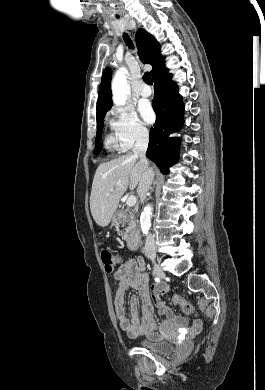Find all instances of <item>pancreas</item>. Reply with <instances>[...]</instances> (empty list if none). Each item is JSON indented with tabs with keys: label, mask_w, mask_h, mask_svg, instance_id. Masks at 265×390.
Segmentation results:
<instances>
[{
	"label": "pancreas",
	"mask_w": 265,
	"mask_h": 390,
	"mask_svg": "<svg viewBox=\"0 0 265 390\" xmlns=\"http://www.w3.org/2000/svg\"><path fill=\"white\" fill-rule=\"evenodd\" d=\"M123 226L125 224H128V227L126 228V231L123 233V238L126 239L128 236V233L131 231H134L137 227V220L135 218V215L132 210L127 209L125 211V220L122 222Z\"/></svg>",
	"instance_id": "pancreas-1"
}]
</instances>
